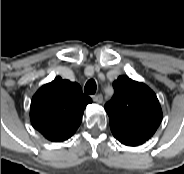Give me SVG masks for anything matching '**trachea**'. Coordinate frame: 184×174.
<instances>
[{"instance_id":"trachea-1","label":"trachea","mask_w":184,"mask_h":174,"mask_svg":"<svg viewBox=\"0 0 184 174\" xmlns=\"http://www.w3.org/2000/svg\"><path fill=\"white\" fill-rule=\"evenodd\" d=\"M96 89H97V85L95 80L90 79L87 81V83L85 84L84 87V92L86 94H95L96 93Z\"/></svg>"}]
</instances>
